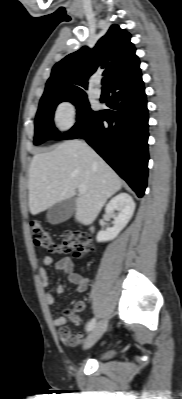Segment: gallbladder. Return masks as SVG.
Masks as SVG:
<instances>
[{"mask_svg": "<svg viewBox=\"0 0 182 399\" xmlns=\"http://www.w3.org/2000/svg\"><path fill=\"white\" fill-rule=\"evenodd\" d=\"M76 210V198L72 197L54 204L47 212V221L56 225L68 220Z\"/></svg>", "mask_w": 182, "mask_h": 399, "instance_id": "1", "label": "gallbladder"}]
</instances>
